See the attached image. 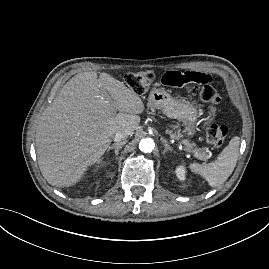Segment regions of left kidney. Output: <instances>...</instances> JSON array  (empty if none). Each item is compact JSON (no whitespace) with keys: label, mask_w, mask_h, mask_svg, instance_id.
Listing matches in <instances>:
<instances>
[{"label":"left kidney","mask_w":269,"mask_h":269,"mask_svg":"<svg viewBox=\"0 0 269 269\" xmlns=\"http://www.w3.org/2000/svg\"><path fill=\"white\" fill-rule=\"evenodd\" d=\"M175 172L180 181H184L186 179V168L183 165L177 166Z\"/></svg>","instance_id":"1"}]
</instances>
